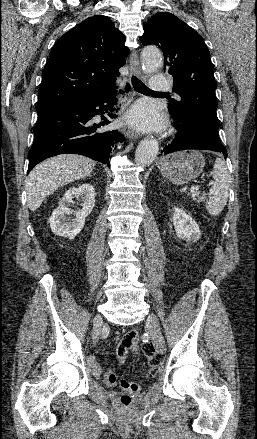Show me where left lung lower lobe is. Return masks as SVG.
<instances>
[{
  "label": "left lung lower lobe",
  "instance_id": "0a47b994",
  "mask_svg": "<svg viewBox=\"0 0 257 439\" xmlns=\"http://www.w3.org/2000/svg\"><path fill=\"white\" fill-rule=\"evenodd\" d=\"M178 132L171 144L165 146L160 155L179 150H210L227 157V150L222 145L218 129L219 124L201 114H190L182 117L172 116Z\"/></svg>",
  "mask_w": 257,
  "mask_h": 439
}]
</instances>
